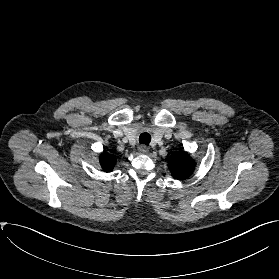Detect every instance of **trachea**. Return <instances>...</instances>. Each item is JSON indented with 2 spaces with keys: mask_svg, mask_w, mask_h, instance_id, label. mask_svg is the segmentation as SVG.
I'll list each match as a JSON object with an SVG mask.
<instances>
[{
  "mask_svg": "<svg viewBox=\"0 0 279 279\" xmlns=\"http://www.w3.org/2000/svg\"><path fill=\"white\" fill-rule=\"evenodd\" d=\"M150 141H151V136H150L149 133L143 132V133L140 134V136H139V142L140 143L145 144V145L148 146Z\"/></svg>",
  "mask_w": 279,
  "mask_h": 279,
  "instance_id": "3493384b",
  "label": "trachea"
}]
</instances>
